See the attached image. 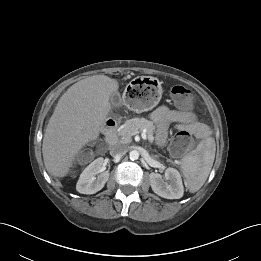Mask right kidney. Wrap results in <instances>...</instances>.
Listing matches in <instances>:
<instances>
[{
	"label": "right kidney",
	"instance_id": "ca27d5eb",
	"mask_svg": "<svg viewBox=\"0 0 261 261\" xmlns=\"http://www.w3.org/2000/svg\"><path fill=\"white\" fill-rule=\"evenodd\" d=\"M109 179V172L105 171L104 159H95L81 173L76 190L82 194H94L100 191Z\"/></svg>",
	"mask_w": 261,
	"mask_h": 261
}]
</instances>
